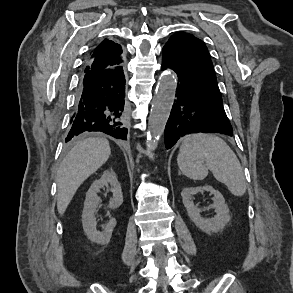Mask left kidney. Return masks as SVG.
I'll return each mask as SVG.
<instances>
[{"label": "left kidney", "instance_id": "left-kidney-1", "mask_svg": "<svg viewBox=\"0 0 293 293\" xmlns=\"http://www.w3.org/2000/svg\"><path fill=\"white\" fill-rule=\"evenodd\" d=\"M210 192L214 195V202L209 208L214 209L216 215L214 218H204L201 216V209L194 205L193 198L199 192ZM184 207L187 210L188 216L194 224L203 232H219L224 229L226 224L230 221L228 206L225 204L223 195L215 190L212 186H198L184 188L181 192Z\"/></svg>", "mask_w": 293, "mask_h": 293}]
</instances>
